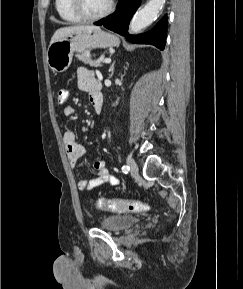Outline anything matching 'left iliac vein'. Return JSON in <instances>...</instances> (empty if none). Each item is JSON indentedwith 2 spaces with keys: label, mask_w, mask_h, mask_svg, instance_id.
<instances>
[{
  "label": "left iliac vein",
  "mask_w": 243,
  "mask_h": 289,
  "mask_svg": "<svg viewBox=\"0 0 243 289\" xmlns=\"http://www.w3.org/2000/svg\"><path fill=\"white\" fill-rule=\"evenodd\" d=\"M127 164L130 168L131 174L136 176L138 174V166H137L135 160L133 158L129 157L127 159Z\"/></svg>",
  "instance_id": "4c4485c4"
}]
</instances>
